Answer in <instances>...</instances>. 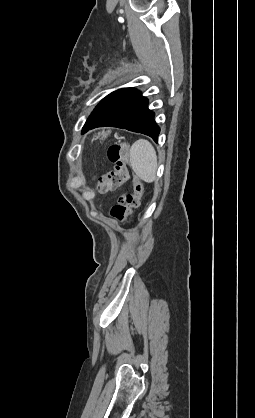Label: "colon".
I'll return each mask as SVG.
<instances>
[{"mask_svg": "<svg viewBox=\"0 0 255 418\" xmlns=\"http://www.w3.org/2000/svg\"><path fill=\"white\" fill-rule=\"evenodd\" d=\"M128 145L125 143L113 144L108 149V158L113 164V171L105 176L100 177V190L107 192L121 186L130 178V170L128 165ZM133 194L127 195L123 199V203L116 205L111 214L118 220H123L133 209L140 206L143 195V185L137 177L132 178Z\"/></svg>", "mask_w": 255, "mask_h": 418, "instance_id": "obj_1", "label": "colon"}]
</instances>
